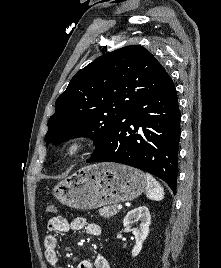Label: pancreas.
I'll use <instances>...</instances> for the list:
<instances>
[{
	"instance_id": "cf45deb5",
	"label": "pancreas",
	"mask_w": 221,
	"mask_h": 268,
	"mask_svg": "<svg viewBox=\"0 0 221 268\" xmlns=\"http://www.w3.org/2000/svg\"><path fill=\"white\" fill-rule=\"evenodd\" d=\"M99 213L104 218H109L111 216L116 215L118 213V209L116 205H112V206L109 205V206L100 208Z\"/></svg>"
}]
</instances>
